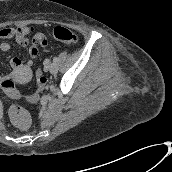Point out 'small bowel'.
<instances>
[{
    "mask_svg": "<svg viewBox=\"0 0 172 172\" xmlns=\"http://www.w3.org/2000/svg\"><path fill=\"white\" fill-rule=\"evenodd\" d=\"M34 27L23 26V27H5L0 29V39L3 40L0 42V50L8 51L11 48V45L8 41L9 39L15 40L17 43L26 46L29 44L28 36L32 34ZM38 46L46 48L48 46V40L42 33H37L33 36L31 41V46L28 51L30 60L23 62L19 57H13L10 59V65L14 70V73L22 71L24 68L31 65V59H34L38 55Z\"/></svg>",
    "mask_w": 172,
    "mask_h": 172,
    "instance_id": "small-bowel-1",
    "label": "small bowel"
}]
</instances>
